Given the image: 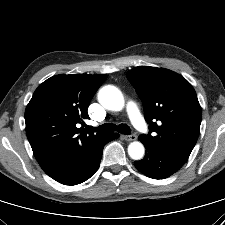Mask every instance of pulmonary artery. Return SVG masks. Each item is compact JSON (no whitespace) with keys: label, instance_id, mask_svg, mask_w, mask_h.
<instances>
[{"label":"pulmonary artery","instance_id":"1","mask_svg":"<svg viewBox=\"0 0 225 225\" xmlns=\"http://www.w3.org/2000/svg\"><path fill=\"white\" fill-rule=\"evenodd\" d=\"M126 111L136 129L141 132H145L147 129V124L142 117L137 105L134 102H128L126 104Z\"/></svg>","mask_w":225,"mask_h":225}]
</instances>
